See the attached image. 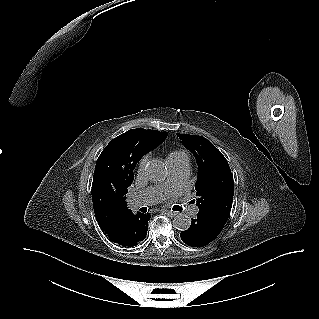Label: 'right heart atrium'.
Masks as SVG:
<instances>
[{"label": "right heart atrium", "instance_id": "obj_1", "mask_svg": "<svg viewBox=\"0 0 319 319\" xmlns=\"http://www.w3.org/2000/svg\"><path fill=\"white\" fill-rule=\"evenodd\" d=\"M148 163V156H144L140 159L139 163H138V173L142 174L145 170V167Z\"/></svg>", "mask_w": 319, "mask_h": 319}]
</instances>
